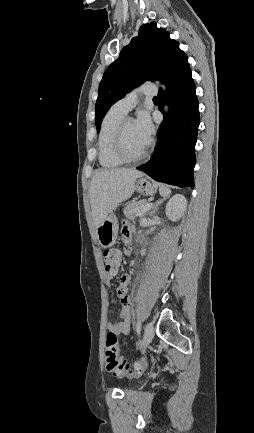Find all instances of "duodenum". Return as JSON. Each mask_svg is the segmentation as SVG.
I'll list each match as a JSON object with an SVG mask.
<instances>
[{"instance_id":"duodenum-1","label":"duodenum","mask_w":254,"mask_h":433,"mask_svg":"<svg viewBox=\"0 0 254 433\" xmlns=\"http://www.w3.org/2000/svg\"><path fill=\"white\" fill-rule=\"evenodd\" d=\"M133 247H134V244H133L132 238H130V239L127 241V248H128L129 250H131V249H133Z\"/></svg>"}]
</instances>
